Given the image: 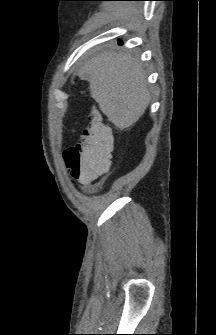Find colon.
I'll return each mask as SVG.
<instances>
[{
  "label": "colon",
  "instance_id": "5ec220e1",
  "mask_svg": "<svg viewBox=\"0 0 216 335\" xmlns=\"http://www.w3.org/2000/svg\"><path fill=\"white\" fill-rule=\"evenodd\" d=\"M110 127L94 113L80 141L64 152V160L75 178H101L111 172L114 160Z\"/></svg>",
  "mask_w": 216,
  "mask_h": 335
}]
</instances>
